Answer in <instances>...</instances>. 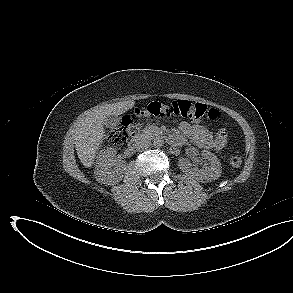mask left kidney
Returning a JSON list of instances; mask_svg holds the SVG:
<instances>
[{
	"instance_id": "5707ae66",
	"label": "left kidney",
	"mask_w": 293,
	"mask_h": 293,
	"mask_svg": "<svg viewBox=\"0 0 293 293\" xmlns=\"http://www.w3.org/2000/svg\"><path fill=\"white\" fill-rule=\"evenodd\" d=\"M201 155L209 161V166L204 165L201 169L192 168L188 159H179L180 169L190 177L200 180L201 182H209L218 179L222 173V167L216 155L209 151H202Z\"/></svg>"
}]
</instances>
